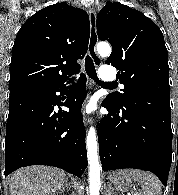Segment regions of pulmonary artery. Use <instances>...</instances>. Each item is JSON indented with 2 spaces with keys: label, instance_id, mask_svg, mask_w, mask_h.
Instances as JSON below:
<instances>
[{
  "label": "pulmonary artery",
  "instance_id": "obj_1",
  "mask_svg": "<svg viewBox=\"0 0 178 195\" xmlns=\"http://www.w3.org/2000/svg\"><path fill=\"white\" fill-rule=\"evenodd\" d=\"M99 75L106 83H110L115 79L113 69L111 66L103 65L99 69Z\"/></svg>",
  "mask_w": 178,
  "mask_h": 195
}]
</instances>
